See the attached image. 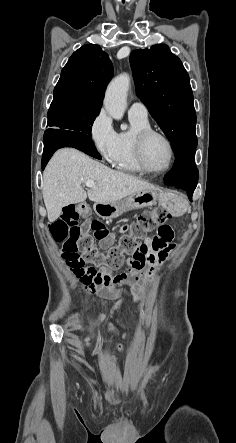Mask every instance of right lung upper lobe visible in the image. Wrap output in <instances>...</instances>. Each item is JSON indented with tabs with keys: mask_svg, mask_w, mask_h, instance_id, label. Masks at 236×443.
Masks as SVG:
<instances>
[{
	"mask_svg": "<svg viewBox=\"0 0 236 443\" xmlns=\"http://www.w3.org/2000/svg\"><path fill=\"white\" fill-rule=\"evenodd\" d=\"M113 76V65L107 53L97 44H86L69 58L54 88L51 105L100 109L107 84Z\"/></svg>",
	"mask_w": 236,
	"mask_h": 443,
	"instance_id": "obj_1",
	"label": "right lung upper lobe"
}]
</instances>
